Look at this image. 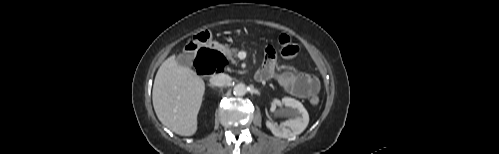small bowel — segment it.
I'll use <instances>...</instances> for the list:
<instances>
[{"label":"small bowel","mask_w":499,"mask_h":154,"mask_svg":"<svg viewBox=\"0 0 499 154\" xmlns=\"http://www.w3.org/2000/svg\"><path fill=\"white\" fill-rule=\"evenodd\" d=\"M258 74L261 81L275 77L284 90L299 98L313 97L320 89V82L314 75L293 70L276 72L275 51L272 47L266 48V60Z\"/></svg>","instance_id":"1"}]
</instances>
